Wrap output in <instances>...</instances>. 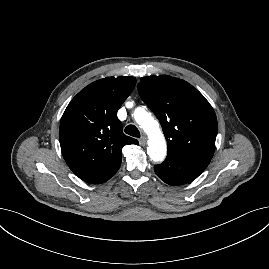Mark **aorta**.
Returning <instances> with one entry per match:
<instances>
[{"label":"aorta","instance_id":"762f6f07","mask_svg":"<svg viewBox=\"0 0 269 269\" xmlns=\"http://www.w3.org/2000/svg\"><path fill=\"white\" fill-rule=\"evenodd\" d=\"M136 123L148 135L147 154L154 162H162L167 155V144L159 123L150 112L138 107L134 111Z\"/></svg>","mask_w":269,"mask_h":269}]
</instances>
